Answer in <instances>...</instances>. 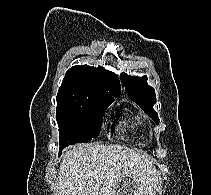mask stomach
Instances as JSON below:
<instances>
[{
  "label": "stomach",
  "instance_id": "1",
  "mask_svg": "<svg viewBox=\"0 0 211 195\" xmlns=\"http://www.w3.org/2000/svg\"><path fill=\"white\" fill-rule=\"evenodd\" d=\"M131 185V182L129 181V180H124V181H122L121 183H120V186L122 187V188H127L128 186H130ZM134 192H133V195H135L134 193L137 191L136 190V188L133 190ZM132 195V194H131Z\"/></svg>",
  "mask_w": 211,
  "mask_h": 195
}]
</instances>
